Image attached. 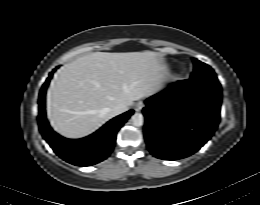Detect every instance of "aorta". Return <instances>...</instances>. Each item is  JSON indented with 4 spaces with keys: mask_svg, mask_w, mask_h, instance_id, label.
Returning <instances> with one entry per match:
<instances>
[{
    "mask_svg": "<svg viewBox=\"0 0 260 205\" xmlns=\"http://www.w3.org/2000/svg\"><path fill=\"white\" fill-rule=\"evenodd\" d=\"M132 124L136 127L143 125V115L141 113H135L131 117Z\"/></svg>",
    "mask_w": 260,
    "mask_h": 205,
    "instance_id": "1",
    "label": "aorta"
}]
</instances>
